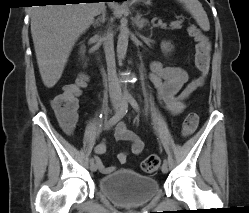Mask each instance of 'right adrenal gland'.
Returning a JSON list of instances; mask_svg holds the SVG:
<instances>
[{
    "instance_id": "obj_1",
    "label": "right adrenal gland",
    "mask_w": 249,
    "mask_h": 213,
    "mask_svg": "<svg viewBox=\"0 0 249 213\" xmlns=\"http://www.w3.org/2000/svg\"><path fill=\"white\" fill-rule=\"evenodd\" d=\"M106 10L102 12V15L100 17H98L95 21L92 22V24L95 25H99V23H104L106 20Z\"/></svg>"
}]
</instances>
